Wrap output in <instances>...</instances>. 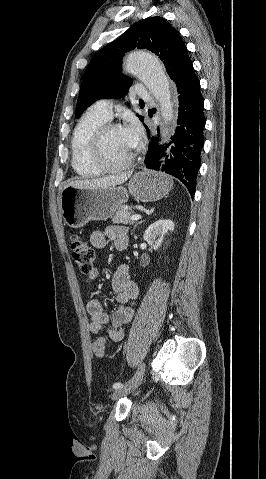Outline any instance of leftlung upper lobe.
<instances>
[{
	"label": "left lung upper lobe",
	"mask_w": 266,
	"mask_h": 479,
	"mask_svg": "<svg viewBox=\"0 0 266 479\" xmlns=\"http://www.w3.org/2000/svg\"><path fill=\"white\" fill-rule=\"evenodd\" d=\"M136 47L146 48L158 55L173 81L191 61L179 32L162 17H149L139 21L91 59L83 75L76 118L99 99L124 97L133 81L121 73L122 57L125 52ZM138 117L143 122L144 118Z\"/></svg>",
	"instance_id": "5c2ea615"
}]
</instances>
